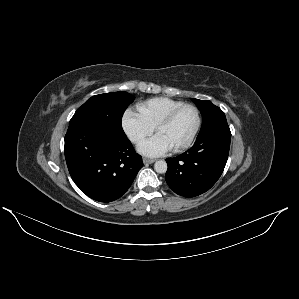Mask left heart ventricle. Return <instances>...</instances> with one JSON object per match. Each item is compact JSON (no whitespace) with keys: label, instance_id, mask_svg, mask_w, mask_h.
Masks as SVG:
<instances>
[{"label":"left heart ventricle","instance_id":"obj_1","mask_svg":"<svg viewBox=\"0 0 299 299\" xmlns=\"http://www.w3.org/2000/svg\"><path fill=\"white\" fill-rule=\"evenodd\" d=\"M196 126V114L190 109H183L174 120L159 129L158 133L164 136L173 148L189 139Z\"/></svg>","mask_w":299,"mask_h":299}]
</instances>
